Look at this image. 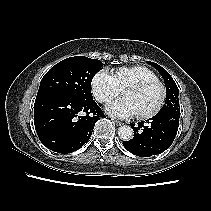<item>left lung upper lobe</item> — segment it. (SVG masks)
<instances>
[{
    "label": "left lung upper lobe",
    "mask_w": 211,
    "mask_h": 211,
    "mask_svg": "<svg viewBox=\"0 0 211 211\" xmlns=\"http://www.w3.org/2000/svg\"><path fill=\"white\" fill-rule=\"evenodd\" d=\"M148 63L159 71V73L162 75L164 79L166 86L165 104L157 114H170L179 118L180 117V107L178 100L179 90L175 81L170 76V74L160 65L150 61H148Z\"/></svg>",
    "instance_id": "obj_1"
}]
</instances>
